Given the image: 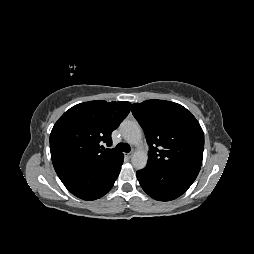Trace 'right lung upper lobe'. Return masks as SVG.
<instances>
[{"label":"right lung upper lobe","mask_w":254,"mask_h":254,"mask_svg":"<svg viewBox=\"0 0 254 254\" xmlns=\"http://www.w3.org/2000/svg\"><path fill=\"white\" fill-rule=\"evenodd\" d=\"M131 103L89 101L67 110L50 134L53 166L58 172L78 165H96L120 155L111 146V133L130 112ZM105 149V150H104Z\"/></svg>","instance_id":"obj_1"}]
</instances>
